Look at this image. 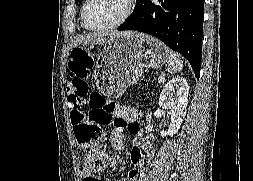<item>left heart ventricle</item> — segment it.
<instances>
[{"instance_id":"obj_1","label":"left heart ventricle","mask_w":253,"mask_h":181,"mask_svg":"<svg viewBox=\"0 0 253 181\" xmlns=\"http://www.w3.org/2000/svg\"><path fill=\"white\" fill-rule=\"evenodd\" d=\"M127 8V0H92L86 11L91 27H102L117 21Z\"/></svg>"}]
</instances>
